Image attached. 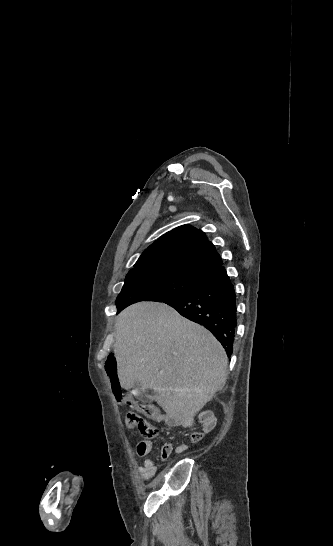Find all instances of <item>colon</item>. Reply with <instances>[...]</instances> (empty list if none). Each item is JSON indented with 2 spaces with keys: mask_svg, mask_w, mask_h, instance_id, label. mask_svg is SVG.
Masks as SVG:
<instances>
[{
  "mask_svg": "<svg viewBox=\"0 0 333 546\" xmlns=\"http://www.w3.org/2000/svg\"><path fill=\"white\" fill-rule=\"evenodd\" d=\"M105 370L112 383L115 398L118 403L124 404L132 408L134 411L129 412L125 418L126 428L131 430L137 428L144 438L152 439L157 435V429L141 414L151 417L156 414V408L147 403L139 402L129 396L128 392L120 387L118 378V362L113 354H109L105 360Z\"/></svg>",
  "mask_w": 333,
  "mask_h": 546,
  "instance_id": "obj_1",
  "label": "colon"
}]
</instances>
